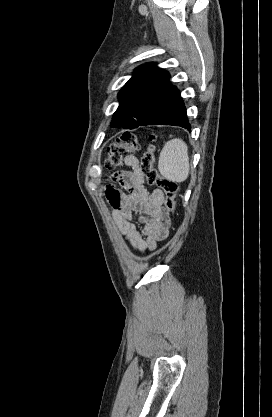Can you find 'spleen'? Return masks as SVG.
I'll use <instances>...</instances> for the list:
<instances>
[{"mask_svg": "<svg viewBox=\"0 0 272 417\" xmlns=\"http://www.w3.org/2000/svg\"><path fill=\"white\" fill-rule=\"evenodd\" d=\"M158 169L169 181L181 183L189 175L188 147L182 139H171L163 147Z\"/></svg>", "mask_w": 272, "mask_h": 417, "instance_id": "3e777b00", "label": "spleen"}]
</instances>
